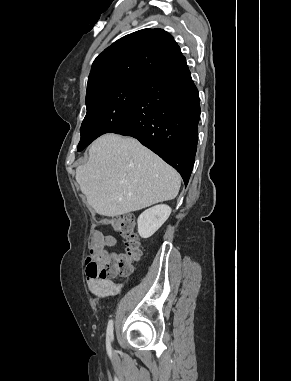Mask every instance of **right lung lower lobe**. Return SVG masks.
<instances>
[{"label": "right lung lower lobe", "mask_w": 291, "mask_h": 381, "mask_svg": "<svg viewBox=\"0 0 291 381\" xmlns=\"http://www.w3.org/2000/svg\"><path fill=\"white\" fill-rule=\"evenodd\" d=\"M199 93L183 55L143 80L127 122L131 136L174 167L187 185L197 150Z\"/></svg>", "instance_id": "obj_1"}]
</instances>
